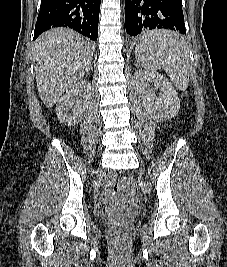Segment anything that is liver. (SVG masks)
<instances>
[{
	"mask_svg": "<svg viewBox=\"0 0 227 267\" xmlns=\"http://www.w3.org/2000/svg\"><path fill=\"white\" fill-rule=\"evenodd\" d=\"M93 59L90 41L67 28H54L34 44L33 61L38 92L51 108L60 96L89 71Z\"/></svg>",
	"mask_w": 227,
	"mask_h": 267,
	"instance_id": "obj_1",
	"label": "liver"
}]
</instances>
